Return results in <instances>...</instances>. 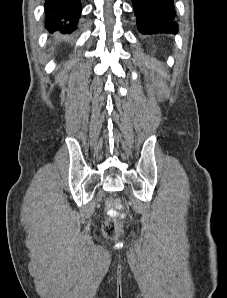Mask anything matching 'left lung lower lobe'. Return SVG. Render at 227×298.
<instances>
[{
  "mask_svg": "<svg viewBox=\"0 0 227 298\" xmlns=\"http://www.w3.org/2000/svg\"><path fill=\"white\" fill-rule=\"evenodd\" d=\"M132 3L142 34L177 33L173 0H132Z\"/></svg>",
  "mask_w": 227,
  "mask_h": 298,
  "instance_id": "1",
  "label": "left lung lower lobe"
}]
</instances>
